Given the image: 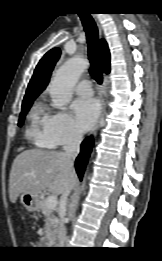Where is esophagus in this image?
Listing matches in <instances>:
<instances>
[{"instance_id": "1", "label": "esophagus", "mask_w": 162, "mask_h": 261, "mask_svg": "<svg viewBox=\"0 0 162 261\" xmlns=\"http://www.w3.org/2000/svg\"><path fill=\"white\" fill-rule=\"evenodd\" d=\"M93 18H94L96 25L98 27L99 35H100V37H102V35H103L102 25H101V23H100V21H99V19L96 15H94ZM106 87H107V76L104 75L103 84H102L101 89H100V99H101L100 115H99V118H98L94 128H93L92 136L96 135L98 128L100 126V122H101V120L104 116V113H105L106 99H107Z\"/></svg>"}]
</instances>
